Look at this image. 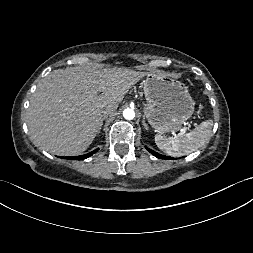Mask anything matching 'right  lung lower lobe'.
<instances>
[{
  "label": "right lung lower lobe",
  "instance_id": "1",
  "mask_svg": "<svg viewBox=\"0 0 253 253\" xmlns=\"http://www.w3.org/2000/svg\"><path fill=\"white\" fill-rule=\"evenodd\" d=\"M98 151V149H95L94 151L85 154V155H80V156H75V157H65L66 159H71V160H83L88 158L89 156L93 155L94 153H96Z\"/></svg>",
  "mask_w": 253,
  "mask_h": 253
}]
</instances>
